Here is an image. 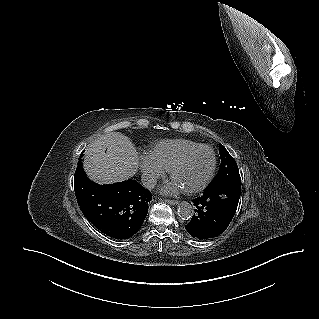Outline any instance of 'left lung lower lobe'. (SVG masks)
Segmentation results:
<instances>
[{"instance_id":"left-lung-lower-lobe-1","label":"left lung lower lobe","mask_w":319,"mask_h":319,"mask_svg":"<svg viewBox=\"0 0 319 319\" xmlns=\"http://www.w3.org/2000/svg\"><path fill=\"white\" fill-rule=\"evenodd\" d=\"M241 179L233 178L216 186H208L203 195L194 199L195 213L185 226L198 239L220 235L230 224L240 198Z\"/></svg>"}]
</instances>
